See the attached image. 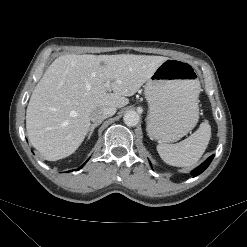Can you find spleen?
<instances>
[{
  "mask_svg": "<svg viewBox=\"0 0 247 247\" xmlns=\"http://www.w3.org/2000/svg\"><path fill=\"white\" fill-rule=\"evenodd\" d=\"M211 137V126L205 120L188 138L177 144H158L157 151L162 160L172 166L195 165L205 152Z\"/></svg>",
  "mask_w": 247,
  "mask_h": 247,
  "instance_id": "obj_1",
  "label": "spleen"
}]
</instances>
